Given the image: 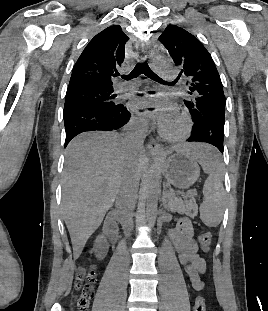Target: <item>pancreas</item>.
<instances>
[{"label": "pancreas", "instance_id": "obj_1", "mask_svg": "<svg viewBox=\"0 0 268 311\" xmlns=\"http://www.w3.org/2000/svg\"><path fill=\"white\" fill-rule=\"evenodd\" d=\"M193 196L194 195H186L184 196V200H182L173 190H170L165 196V208L172 213H185L191 217L195 216L197 213V204ZM192 211H194L193 214Z\"/></svg>", "mask_w": 268, "mask_h": 311}]
</instances>
